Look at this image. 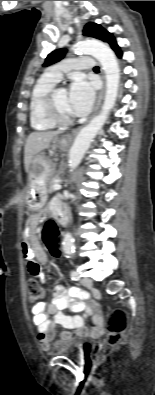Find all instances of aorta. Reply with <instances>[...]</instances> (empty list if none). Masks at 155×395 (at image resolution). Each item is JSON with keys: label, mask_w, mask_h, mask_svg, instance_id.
<instances>
[{"label": "aorta", "mask_w": 155, "mask_h": 395, "mask_svg": "<svg viewBox=\"0 0 155 395\" xmlns=\"http://www.w3.org/2000/svg\"><path fill=\"white\" fill-rule=\"evenodd\" d=\"M73 50L80 54H90L101 64L106 77V93L104 103L97 116L83 127L76 136L69 152V166L75 169L83 159L92 139L105 124L110 111L114 107L118 95L120 69L114 52L107 45L95 40H82L74 45ZM63 251L67 256L74 253V240L70 233L63 237Z\"/></svg>", "instance_id": "aorta-1"}]
</instances>
